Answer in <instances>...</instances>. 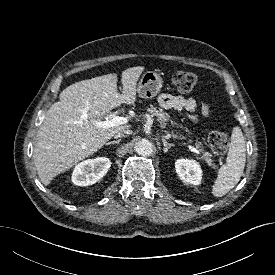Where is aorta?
<instances>
[{
  "label": "aorta",
  "mask_w": 275,
  "mask_h": 275,
  "mask_svg": "<svg viewBox=\"0 0 275 275\" xmlns=\"http://www.w3.org/2000/svg\"><path fill=\"white\" fill-rule=\"evenodd\" d=\"M134 148L138 155H149L153 151V144L147 139H141Z\"/></svg>",
  "instance_id": "obj_1"
}]
</instances>
